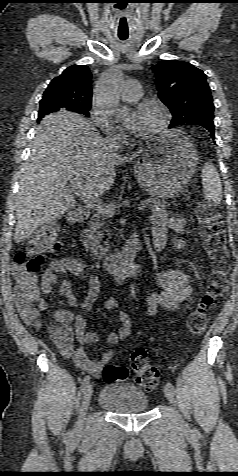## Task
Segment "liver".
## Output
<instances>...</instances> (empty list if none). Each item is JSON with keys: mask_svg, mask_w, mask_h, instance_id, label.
<instances>
[{"mask_svg": "<svg viewBox=\"0 0 238 476\" xmlns=\"http://www.w3.org/2000/svg\"><path fill=\"white\" fill-rule=\"evenodd\" d=\"M134 157L111 151L94 124L77 113L45 116L21 171L14 240L24 241L76 206L68 180L85 178L91 190L102 195L114 183L115 166Z\"/></svg>", "mask_w": 238, "mask_h": 476, "instance_id": "6515ba94", "label": "liver"}]
</instances>
